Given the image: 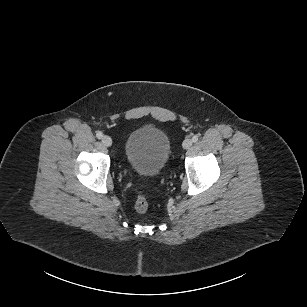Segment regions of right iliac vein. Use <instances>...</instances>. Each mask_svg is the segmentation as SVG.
<instances>
[{
    "instance_id": "right-iliac-vein-1",
    "label": "right iliac vein",
    "mask_w": 307,
    "mask_h": 307,
    "mask_svg": "<svg viewBox=\"0 0 307 307\" xmlns=\"http://www.w3.org/2000/svg\"><path fill=\"white\" fill-rule=\"evenodd\" d=\"M102 143L104 146L110 147L112 145V139L109 136L105 135L102 137Z\"/></svg>"
}]
</instances>
